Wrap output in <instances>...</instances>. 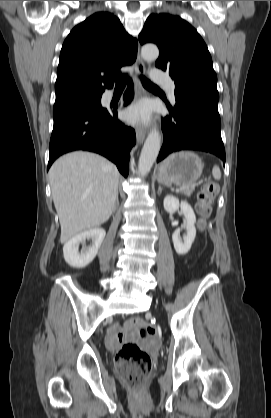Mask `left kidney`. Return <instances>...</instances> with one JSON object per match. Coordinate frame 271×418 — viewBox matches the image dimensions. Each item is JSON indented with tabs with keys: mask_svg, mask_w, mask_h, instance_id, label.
I'll return each instance as SVG.
<instances>
[{
	"mask_svg": "<svg viewBox=\"0 0 271 418\" xmlns=\"http://www.w3.org/2000/svg\"><path fill=\"white\" fill-rule=\"evenodd\" d=\"M163 205L164 209L170 214L175 213L179 208L184 214L185 220L182 227L186 230V234L183 236V239H181L180 229H177L172 235V240L177 254L185 255L190 250L196 237V229L194 226L196 222L195 213L186 201L179 202V199L172 195H167L164 198Z\"/></svg>",
	"mask_w": 271,
	"mask_h": 418,
	"instance_id": "left-kidney-1",
	"label": "left kidney"
}]
</instances>
